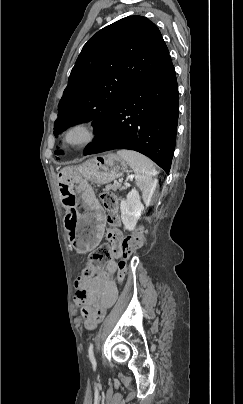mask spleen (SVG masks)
<instances>
[{"instance_id": "1", "label": "spleen", "mask_w": 243, "mask_h": 404, "mask_svg": "<svg viewBox=\"0 0 243 404\" xmlns=\"http://www.w3.org/2000/svg\"><path fill=\"white\" fill-rule=\"evenodd\" d=\"M117 154L133 170L136 186L142 192L144 204L150 206L157 186V172L153 162L149 158H146V156H142L138 152H132V150H120Z\"/></svg>"}]
</instances>
